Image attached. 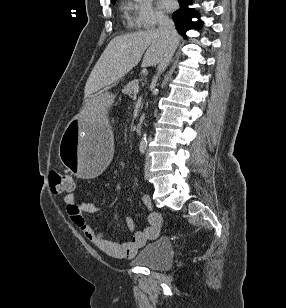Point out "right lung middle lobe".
<instances>
[{"mask_svg": "<svg viewBox=\"0 0 286 308\" xmlns=\"http://www.w3.org/2000/svg\"><path fill=\"white\" fill-rule=\"evenodd\" d=\"M112 3H115V0H112Z\"/></svg>", "mask_w": 286, "mask_h": 308, "instance_id": "1", "label": "right lung middle lobe"}]
</instances>
